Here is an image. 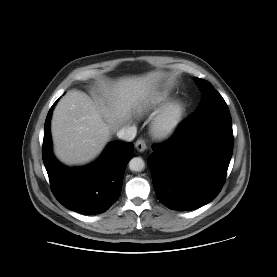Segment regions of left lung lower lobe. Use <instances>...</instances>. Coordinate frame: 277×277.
Returning <instances> with one entry per match:
<instances>
[{
  "label": "left lung lower lobe",
  "instance_id": "1",
  "mask_svg": "<svg viewBox=\"0 0 277 277\" xmlns=\"http://www.w3.org/2000/svg\"><path fill=\"white\" fill-rule=\"evenodd\" d=\"M227 104L193 113L167 142L154 146L148 166L158 199L168 208L194 210L221 191L233 152Z\"/></svg>",
  "mask_w": 277,
  "mask_h": 277
}]
</instances>
